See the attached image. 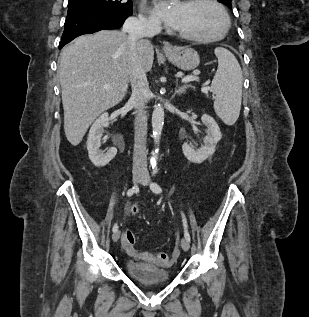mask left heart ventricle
Here are the masks:
<instances>
[{
    "instance_id": "b2bd125f",
    "label": "left heart ventricle",
    "mask_w": 309,
    "mask_h": 317,
    "mask_svg": "<svg viewBox=\"0 0 309 317\" xmlns=\"http://www.w3.org/2000/svg\"><path fill=\"white\" fill-rule=\"evenodd\" d=\"M179 21L178 32L195 36H213L222 28V17L219 11L208 3L183 2L177 5Z\"/></svg>"
}]
</instances>
